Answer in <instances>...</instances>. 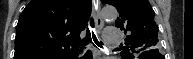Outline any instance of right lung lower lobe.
Returning a JSON list of instances; mask_svg holds the SVG:
<instances>
[{
  "label": "right lung lower lobe",
  "instance_id": "1",
  "mask_svg": "<svg viewBox=\"0 0 193 59\" xmlns=\"http://www.w3.org/2000/svg\"><path fill=\"white\" fill-rule=\"evenodd\" d=\"M77 55L73 56L71 59H75ZM84 59H92V54L90 51H88L86 53V55L84 56Z\"/></svg>",
  "mask_w": 193,
  "mask_h": 59
}]
</instances>
